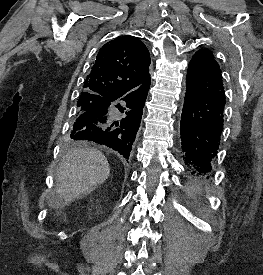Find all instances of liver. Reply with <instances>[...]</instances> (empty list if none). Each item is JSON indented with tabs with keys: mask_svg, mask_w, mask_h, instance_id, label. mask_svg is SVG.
<instances>
[{
	"mask_svg": "<svg viewBox=\"0 0 263 275\" xmlns=\"http://www.w3.org/2000/svg\"><path fill=\"white\" fill-rule=\"evenodd\" d=\"M110 166L107 158L94 148L70 150L57 167L56 196L52 208H59L92 192L107 180Z\"/></svg>",
	"mask_w": 263,
	"mask_h": 275,
	"instance_id": "1",
	"label": "liver"
}]
</instances>
